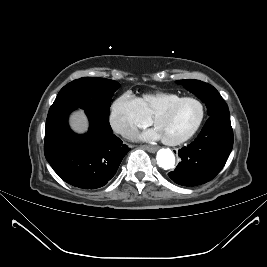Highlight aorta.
I'll list each match as a JSON object with an SVG mask.
<instances>
[{"label":"aorta","mask_w":267,"mask_h":267,"mask_svg":"<svg viewBox=\"0 0 267 267\" xmlns=\"http://www.w3.org/2000/svg\"><path fill=\"white\" fill-rule=\"evenodd\" d=\"M157 164L164 170H168L175 165V156L170 149H160L156 156Z\"/></svg>","instance_id":"obj_1"}]
</instances>
